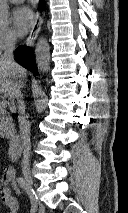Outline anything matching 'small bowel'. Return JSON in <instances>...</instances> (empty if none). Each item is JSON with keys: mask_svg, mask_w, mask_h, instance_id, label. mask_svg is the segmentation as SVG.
I'll list each match as a JSON object with an SVG mask.
<instances>
[{"mask_svg": "<svg viewBox=\"0 0 128 213\" xmlns=\"http://www.w3.org/2000/svg\"><path fill=\"white\" fill-rule=\"evenodd\" d=\"M8 185L12 186L15 195L11 194ZM18 194L19 189L16 183V171L12 166H6L0 178V198L8 208V213H17L19 209Z\"/></svg>", "mask_w": 128, "mask_h": 213, "instance_id": "small-bowel-1", "label": "small bowel"}]
</instances>
